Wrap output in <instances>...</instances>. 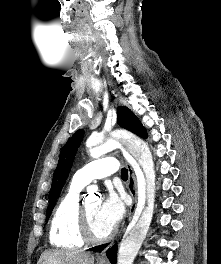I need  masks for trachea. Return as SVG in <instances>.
Wrapping results in <instances>:
<instances>
[{
  "mask_svg": "<svg viewBox=\"0 0 221 264\" xmlns=\"http://www.w3.org/2000/svg\"><path fill=\"white\" fill-rule=\"evenodd\" d=\"M121 177L123 180H127L128 178V170L126 168L121 169Z\"/></svg>",
  "mask_w": 221,
  "mask_h": 264,
  "instance_id": "trachea-1",
  "label": "trachea"
}]
</instances>
